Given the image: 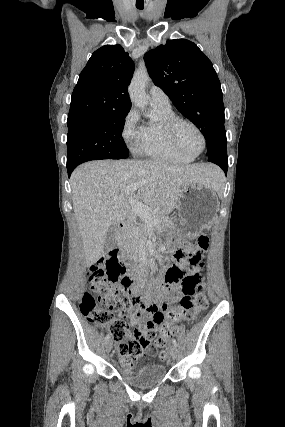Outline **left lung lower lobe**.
<instances>
[{"label": "left lung lower lobe", "instance_id": "1", "mask_svg": "<svg viewBox=\"0 0 285 427\" xmlns=\"http://www.w3.org/2000/svg\"><path fill=\"white\" fill-rule=\"evenodd\" d=\"M225 144L222 148L214 149L209 156H207V160L209 162L215 163L220 166L225 174L228 169V161H227V149Z\"/></svg>", "mask_w": 285, "mask_h": 427}]
</instances>
